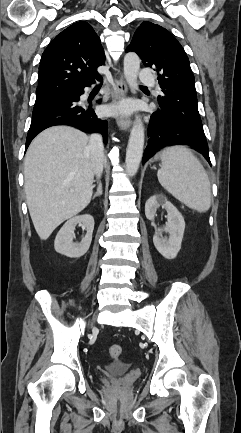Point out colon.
I'll list each match as a JSON object with an SVG mask.
<instances>
[{
    "instance_id": "obj_1",
    "label": "colon",
    "mask_w": 241,
    "mask_h": 433,
    "mask_svg": "<svg viewBox=\"0 0 241 433\" xmlns=\"http://www.w3.org/2000/svg\"><path fill=\"white\" fill-rule=\"evenodd\" d=\"M122 347L119 345H113L110 347L109 349V355L112 359H117L121 356L122 354Z\"/></svg>"
}]
</instances>
